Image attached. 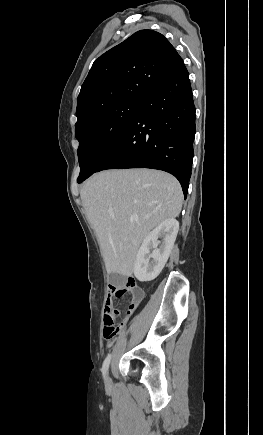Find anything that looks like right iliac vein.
I'll return each instance as SVG.
<instances>
[{
    "label": "right iliac vein",
    "instance_id": "1",
    "mask_svg": "<svg viewBox=\"0 0 263 435\" xmlns=\"http://www.w3.org/2000/svg\"><path fill=\"white\" fill-rule=\"evenodd\" d=\"M109 382H110V378L107 377V378H106V383L108 384Z\"/></svg>",
    "mask_w": 263,
    "mask_h": 435
}]
</instances>
